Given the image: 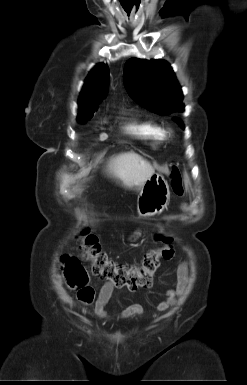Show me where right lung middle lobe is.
Returning a JSON list of instances; mask_svg holds the SVG:
<instances>
[{
    "instance_id": "obj_1",
    "label": "right lung middle lobe",
    "mask_w": 247,
    "mask_h": 385,
    "mask_svg": "<svg viewBox=\"0 0 247 385\" xmlns=\"http://www.w3.org/2000/svg\"><path fill=\"white\" fill-rule=\"evenodd\" d=\"M94 115V113H91V114H88V115H85V116H78V119L80 122H85L87 120H89L92 116Z\"/></svg>"
}]
</instances>
